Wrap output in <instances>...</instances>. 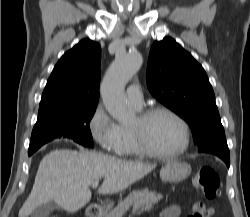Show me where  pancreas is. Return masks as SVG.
<instances>
[{
    "mask_svg": "<svg viewBox=\"0 0 250 217\" xmlns=\"http://www.w3.org/2000/svg\"><path fill=\"white\" fill-rule=\"evenodd\" d=\"M161 199V194L150 192L148 189L135 191L132 192L127 198L119 202L118 205L104 217H121L131 206H133V212H138L143 208L154 206Z\"/></svg>",
    "mask_w": 250,
    "mask_h": 217,
    "instance_id": "cf45deb5",
    "label": "pancreas"
}]
</instances>
